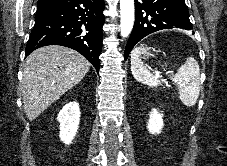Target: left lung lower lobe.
<instances>
[{
	"label": "left lung lower lobe",
	"instance_id": "left-lung-lower-lobe-1",
	"mask_svg": "<svg viewBox=\"0 0 227 166\" xmlns=\"http://www.w3.org/2000/svg\"><path fill=\"white\" fill-rule=\"evenodd\" d=\"M135 23L124 57L145 36L163 29L181 28L192 30L189 13L184 0H136Z\"/></svg>",
	"mask_w": 227,
	"mask_h": 166
}]
</instances>
